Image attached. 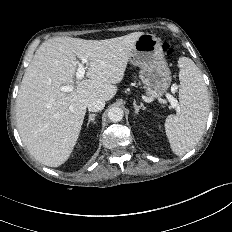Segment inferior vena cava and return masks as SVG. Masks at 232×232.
<instances>
[{"instance_id":"1","label":"inferior vena cava","mask_w":232,"mask_h":232,"mask_svg":"<svg viewBox=\"0 0 232 232\" xmlns=\"http://www.w3.org/2000/svg\"><path fill=\"white\" fill-rule=\"evenodd\" d=\"M105 107V100L101 97L93 98L88 103V110L91 112H99Z\"/></svg>"}]
</instances>
